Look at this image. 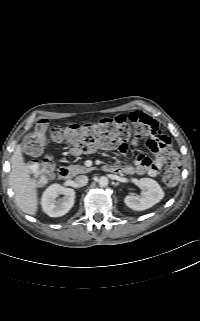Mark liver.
Here are the masks:
<instances>
[{"instance_id": "1", "label": "liver", "mask_w": 200, "mask_h": 321, "mask_svg": "<svg viewBox=\"0 0 200 321\" xmlns=\"http://www.w3.org/2000/svg\"><path fill=\"white\" fill-rule=\"evenodd\" d=\"M9 184L13 189L15 203L19 209L26 214L36 215L38 210L37 190L24 162L21 145H17L11 157Z\"/></svg>"}]
</instances>
